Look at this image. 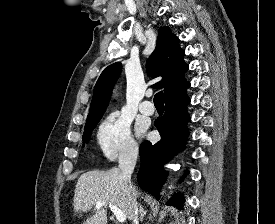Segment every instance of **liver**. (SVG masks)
<instances>
[{
    "label": "liver",
    "mask_w": 275,
    "mask_h": 224,
    "mask_svg": "<svg viewBox=\"0 0 275 224\" xmlns=\"http://www.w3.org/2000/svg\"><path fill=\"white\" fill-rule=\"evenodd\" d=\"M133 188L137 195L136 188ZM130 197L129 187L120 169L89 171L82 174L77 181L73 200L75 215L80 218L82 213L94 208V214L83 224H107V206L96 207V202L101 201L116 206L130 221L133 219Z\"/></svg>",
    "instance_id": "6515ba94"
}]
</instances>
